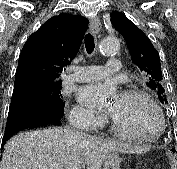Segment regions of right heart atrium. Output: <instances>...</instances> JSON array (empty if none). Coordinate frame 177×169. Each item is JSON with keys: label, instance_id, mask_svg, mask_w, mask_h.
<instances>
[{"label": "right heart atrium", "instance_id": "right-heart-atrium-1", "mask_svg": "<svg viewBox=\"0 0 177 169\" xmlns=\"http://www.w3.org/2000/svg\"><path fill=\"white\" fill-rule=\"evenodd\" d=\"M70 121L76 126H83L87 129H93L101 126L104 123V119L93 114L88 109L80 106H76L70 113Z\"/></svg>", "mask_w": 177, "mask_h": 169}]
</instances>
